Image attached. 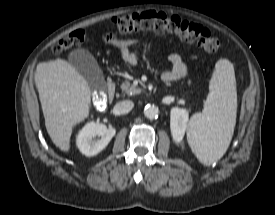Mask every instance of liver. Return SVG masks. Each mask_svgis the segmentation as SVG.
<instances>
[{"mask_svg": "<svg viewBox=\"0 0 275 215\" xmlns=\"http://www.w3.org/2000/svg\"><path fill=\"white\" fill-rule=\"evenodd\" d=\"M35 84L47 132L56 147L68 152L73 127L89 116L90 87L72 65L60 58L37 65Z\"/></svg>", "mask_w": 275, "mask_h": 215, "instance_id": "obj_1", "label": "liver"}]
</instances>
